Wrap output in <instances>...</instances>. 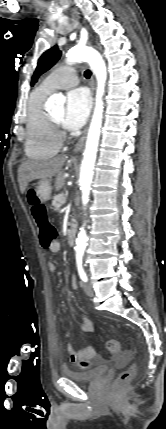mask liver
<instances>
[{"label": "liver", "mask_w": 166, "mask_h": 429, "mask_svg": "<svg viewBox=\"0 0 166 429\" xmlns=\"http://www.w3.org/2000/svg\"><path fill=\"white\" fill-rule=\"evenodd\" d=\"M67 156H58L50 160H27L18 168V182L21 193H24L28 184L37 179L47 180L56 177V190H60L65 182L62 167L67 160Z\"/></svg>", "instance_id": "6515ba94"}]
</instances>
